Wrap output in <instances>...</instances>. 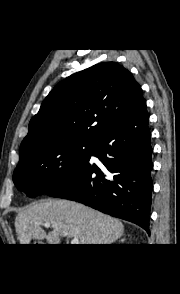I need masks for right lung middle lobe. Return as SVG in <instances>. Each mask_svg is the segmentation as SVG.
I'll return each instance as SVG.
<instances>
[{
    "label": "right lung middle lobe",
    "instance_id": "obj_1",
    "mask_svg": "<svg viewBox=\"0 0 180 294\" xmlns=\"http://www.w3.org/2000/svg\"><path fill=\"white\" fill-rule=\"evenodd\" d=\"M92 147L93 142H70L40 149L19 162L14 184L29 197L48 194L88 161Z\"/></svg>",
    "mask_w": 180,
    "mask_h": 294
}]
</instances>
